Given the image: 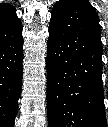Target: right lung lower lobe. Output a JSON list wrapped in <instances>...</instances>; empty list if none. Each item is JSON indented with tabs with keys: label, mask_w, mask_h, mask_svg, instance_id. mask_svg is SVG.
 Wrapping results in <instances>:
<instances>
[{
	"label": "right lung lower lobe",
	"mask_w": 108,
	"mask_h": 127,
	"mask_svg": "<svg viewBox=\"0 0 108 127\" xmlns=\"http://www.w3.org/2000/svg\"><path fill=\"white\" fill-rule=\"evenodd\" d=\"M23 37L18 18L0 22V127H13L22 81Z\"/></svg>",
	"instance_id": "right-lung-lower-lobe-1"
}]
</instances>
